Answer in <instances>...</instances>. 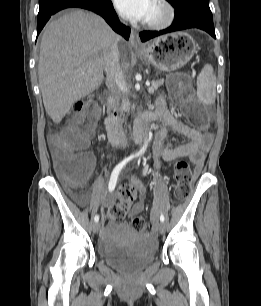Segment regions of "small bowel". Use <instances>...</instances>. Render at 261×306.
Segmentation results:
<instances>
[{
  "label": "small bowel",
  "mask_w": 261,
  "mask_h": 306,
  "mask_svg": "<svg viewBox=\"0 0 261 306\" xmlns=\"http://www.w3.org/2000/svg\"><path fill=\"white\" fill-rule=\"evenodd\" d=\"M165 99L163 97L158 99L156 117L159 119V126L156 134V143L154 149V158L156 166L162 161H173L178 158L186 157L195 166L196 172H199L206 160V157L211 149L213 136L209 132H202L194 127H191L180 120H178L171 112L165 108ZM169 130L178 135L184 136L187 140L180 145H172L169 142ZM90 160V171H92L95 158L92 154H87ZM132 186L135 191L140 194L139 200L134 204L131 215H137L144 209L143 195L145 188L141 181L134 179ZM73 196L80 202L86 203L88 195L86 193H73ZM116 199V194L106 195L102 199L103 206H111ZM114 224H109L105 232L106 239L109 233L114 229Z\"/></svg>",
  "instance_id": "c3829d8e"
}]
</instances>
